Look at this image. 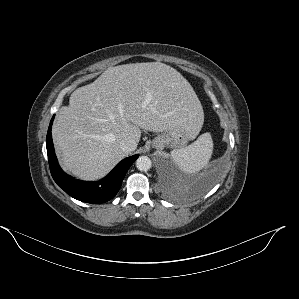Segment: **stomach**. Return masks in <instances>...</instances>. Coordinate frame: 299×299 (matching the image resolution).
Returning <instances> with one entry per match:
<instances>
[{"label": "stomach", "instance_id": "stomach-1", "mask_svg": "<svg viewBox=\"0 0 299 299\" xmlns=\"http://www.w3.org/2000/svg\"><path fill=\"white\" fill-rule=\"evenodd\" d=\"M191 138L183 127H176L165 131L152 140V147L161 150L166 146L183 147Z\"/></svg>", "mask_w": 299, "mask_h": 299}]
</instances>
